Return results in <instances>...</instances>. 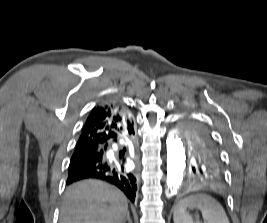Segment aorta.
Instances as JSON below:
<instances>
[{
  "instance_id": "aorta-1",
  "label": "aorta",
  "mask_w": 267,
  "mask_h": 223,
  "mask_svg": "<svg viewBox=\"0 0 267 223\" xmlns=\"http://www.w3.org/2000/svg\"><path fill=\"white\" fill-rule=\"evenodd\" d=\"M166 145L168 196H174L182 184L186 167L185 149L178 130L169 133Z\"/></svg>"
}]
</instances>
